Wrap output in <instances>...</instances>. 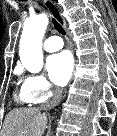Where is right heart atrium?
<instances>
[{
	"label": "right heart atrium",
	"mask_w": 117,
	"mask_h": 136,
	"mask_svg": "<svg viewBox=\"0 0 117 136\" xmlns=\"http://www.w3.org/2000/svg\"><path fill=\"white\" fill-rule=\"evenodd\" d=\"M22 88L32 104L46 102L54 95L50 82L41 74L27 75L24 79Z\"/></svg>",
	"instance_id": "obj_1"
}]
</instances>
